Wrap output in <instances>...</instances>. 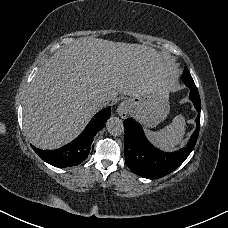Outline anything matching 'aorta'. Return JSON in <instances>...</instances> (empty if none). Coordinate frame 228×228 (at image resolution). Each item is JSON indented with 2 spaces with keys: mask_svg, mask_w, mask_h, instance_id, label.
I'll return each instance as SVG.
<instances>
[{
  "mask_svg": "<svg viewBox=\"0 0 228 228\" xmlns=\"http://www.w3.org/2000/svg\"><path fill=\"white\" fill-rule=\"evenodd\" d=\"M107 131L114 136H120L124 132L122 120L118 117H111L106 123Z\"/></svg>",
  "mask_w": 228,
  "mask_h": 228,
  "instance_id": "obj_1",
  "label": "aorta"
}]
</instances>
